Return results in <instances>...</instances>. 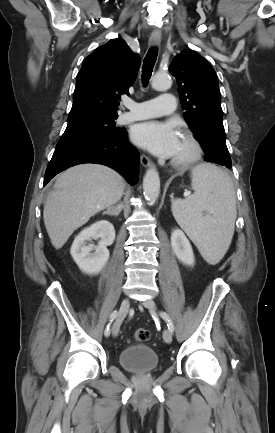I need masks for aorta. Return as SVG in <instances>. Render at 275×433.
Segmentation results:
<instances>
[{"instance_id":"obj_1","label":"aorta","mask_w":275,"mask_h":433,"mask_svg":"<svg viewBox=\"0 0 275 433\" xmlns=\"http://www.w3.org/2000/svg\"><path fill=\"white\" fill-rule=\"evenodd\" d=\"M172 80L167 74H155L152 78V87L155 90H167L171 87ZM144 195L148 200H155L160 193V178L156 169L147 170L143 178Z\"/></svg>"}]
</instances>
